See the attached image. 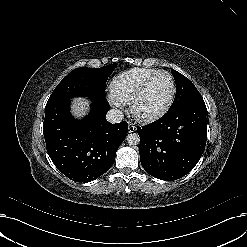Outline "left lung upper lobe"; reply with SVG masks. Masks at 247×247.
<instances>
[{"label": "left lung upper lobe", "mask_w": 247, "mask_h": 247, "mask_svg": "<svg viewBox=\"0 0 247 247\" xmlns=\"http://www.w3.org/2000/svg\"><path fill=\"white\" fill-rule=\"evenodd\" d=\"M176 82L175 99L169 109L180 107L195 97L201 96L194 84L184 75L171 69Z\"/></svg>", "instance_id": "left-lung-upper-lobe-1"}]
</instances>
